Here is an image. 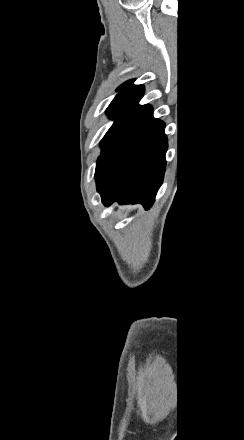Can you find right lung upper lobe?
<instances>
[{
	"instance_id": "cb5924a9",
	"label": "right lung upper lobe",
	"mask_w": 244,
	"mask_h": 440,
	"mask_svg": "<svg viewBox=\"0 0 244 440\" xmlns=\"http://www.w3.org/2000/svg\"><path fill=\"white\" fill-rule=\"evenodd\" d=\"M133 80H129L122 84L117 91L119 94L115 99H140L144 93V87L142 85H133Z\"/></svg>"
}]
</instances>
